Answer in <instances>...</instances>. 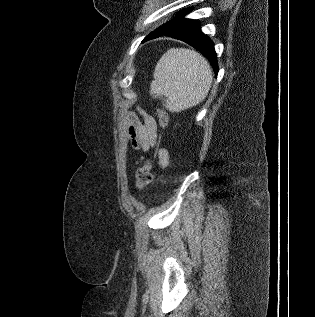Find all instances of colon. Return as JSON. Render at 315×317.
I'll use <instances>...</instances> for the list:
<instances>
[{
    "instance_id": "obj_1",
    "label": "colon",
    "mask_w": 315,
    "mask_h": 317,
    "mask_svg": "<svg viewBox=\"0 0 315 317\" xmlns=\"http://www.w3.org/2000/svg\"><path fill=\"white\" fill-rule=\"evenodd\" d=\"M158 120L162 129L168 125V112L163 106L159 107ZM153 164L152 160H147L136 172V189L142 192L153 181Z\"/></svg>"
}]
</instances>
